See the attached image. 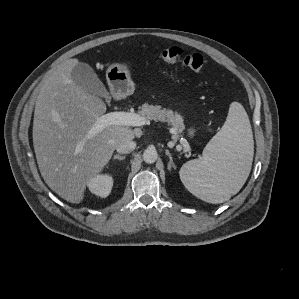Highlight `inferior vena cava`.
<instances>
[{"label": "inferior vena cava", "instance_id": "obj_1", "mask_svg": "<svg viewBox=\"0 0 299 299\" xmlns=\"http://www.w3.org/2000/svg\"><path fill=\"white\" fill-rule=\"evenodd\" d=\"M136 148V143L131 140H123L116 146V150L120 154L131 153Z\"/></svg>", "mask_w": 299, "mask_h": 299}]
</instances>
